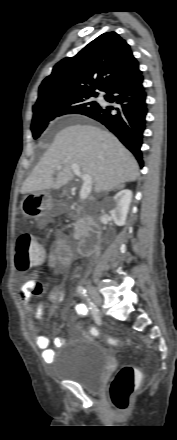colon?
<instances>
[{
  "instance_id": "colon-1",
  "label": "colon",
  "mask_w": 177,
  "mask_h": 440,
  "mask_svg": "<svg viewBox=\"0 0 177 440\" xmlns=\"http://www.w3.org/2000/svg\"><path fill=\"white\" fill-rule=\"evenodd\" d=\"M45 258L44 248L35 241L32 234L25 233L18 238L15 258L18 271L24 272L38 266L44 262ZM35 289L37 291L41 290L39 285ZM91 331L94 335L99 334L96 328H92ZM109 342L116 344L119 341L114 337H110ZM137 385L138 375L135 367L132 365L122 366L113 378L109 388V397L113 405L118 409L127 408L130 397Z\"/></svg>"
}]
</instances>
